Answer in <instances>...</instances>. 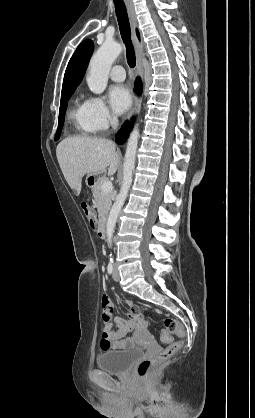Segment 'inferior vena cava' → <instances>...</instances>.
<instances>
[{
  "mask_svg": "<svg viewBox=\"0 0 255 418\" xmlns=\"http://www.w3.org/2000/svg\"><path fill=\"white\" fill-rule=\"evenodd\" d=\"M110 123H111L112 127H113L114 129H116V128L118 127V118H117V116H113V117L110 119Z\"/></svg>",
  "mask_w": 255,
  "mask_h": 418,
  "instance_id": "inferior-vena-cava-1",
  "label": "inferior vena cava"
}]
</instances>
